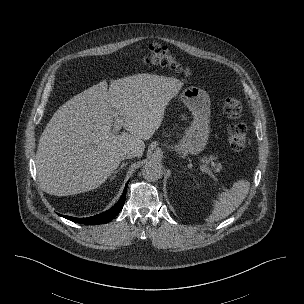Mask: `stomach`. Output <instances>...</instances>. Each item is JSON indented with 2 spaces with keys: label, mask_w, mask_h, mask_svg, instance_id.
Segmentation results:
<instances>
[{
  "label": "stomach",
  "mask_w": 304,
  "mask_h": 304,
  "mask_svg": "<svg viewBox=\"0 0 304 304\" xmlns=\"http://www.w3.org/2000/svg\"><path fill=\"white\" fill-rule=\"evenodd\" d=\"M180 99L192 112L193 121L172 148L179 154H198L204 150L209 137L210 98L204 90L191 86L182 91Z\"/></svg>",
  "instance_id": "0dacf381"
}]
</instances>
